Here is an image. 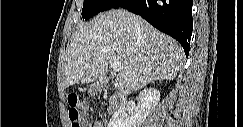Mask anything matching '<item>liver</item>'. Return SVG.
I'll use <instances>...</instances> for the list:
<instances>
[{
	"label": "liver",
	"instance_id": "6515ba94",
	"mask_svg": "<svg viewBox=\"0 0 243 127\" xmlns=\"http://www.w3.org/2000/svg\"><path fill=\"white\" fill-rule=\"evenodd\" d=\"M122 65L114 87L130 94L156 80H172L184 51L170 36L126 10H109L79 26L66 50L64 87L103 81L108 62Z\"/></svg>",
	"mask_w": 243,
	"mask_h": 127
}]
</instances>
